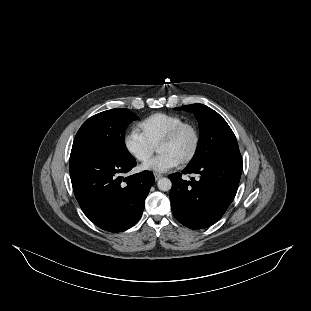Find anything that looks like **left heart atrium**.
<instances>
[{
  "mask_svg": "<svg viewBox=\"0 0 311 311\" xmlns=\"http://www.w3.org/2000/svg\"><path fill=\"white\" fill-rule=\"evenodd\" d=\"M180 164V161L170 153H159L149 162L143 164L141 169L154 173H165Z\"/></svg>",
  "mask_w": 311,
  "mask_h": 311,
  "instance_id": "1",
  "label": "left heart atrium"
}]
</instances>
